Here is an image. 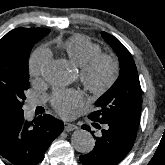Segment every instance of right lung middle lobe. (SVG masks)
Instances as JSON below:
<instances>
[{
	"label": "right lung middle lobe",
	"instance_id": "right-lung-middle-lobe-1",
	"mask_svg": "<svg viewBox=\"0 0 165 165\" xmlns=\"http://www.w3.org/2000/svg\"><path fill=\"white\" fill-rule=\"evenodd\" d=\"M49 32L24 30L0 39V118L23 112L24 92L29 88V55L34 44Z\"/></svg>",
	"mask_w": 165,
	"mask_h": 165
}]
</instances>
